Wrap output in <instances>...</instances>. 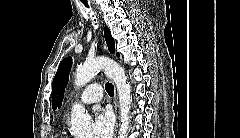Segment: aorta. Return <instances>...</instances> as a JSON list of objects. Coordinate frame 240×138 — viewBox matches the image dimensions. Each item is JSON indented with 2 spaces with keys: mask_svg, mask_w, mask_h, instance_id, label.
I'll list each match as a JSON object with an SVG mask.
<instances>
[{
  "mask_svg": "<svg viewBox=\"0 0 240 138\" xmlns=\"http://www.w3.org/2000/svg\"><path fill=\"white\" fill-rule=\"evenodd\" d=\"M102 69L116 84L120 103L118 138H126L129 130V113L132 96L131 85L128 82L124 68L111 59L103 57L95 58L77 67L74 83L77 87L84 86ZM70 131L76 138H91V116L78 103L72 107Z\"/></svg>",
  "mask_w": 240,
  "mask_h": 138,
  "instance_id": "762f6f07",
  "label": "aorta"
}]
</instances>
